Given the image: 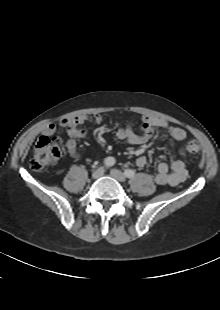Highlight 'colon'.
I'll return each mask as SVG.
<instances>
[{
  "label": "colon",
  "mask_w": 220,
  "mask_h": 310,
  "mask_svg": "<svg viewBox=\"0 0 220 310\" xmlns=\"http://www.w3.org/2000/svg\"><path fill=\"white\" fill-rule=\"evenodd\" d=\"M60 146L61 140L59 138L50 136L40 137L34 146L30 167L35 170H41L56 163L61 154ZM185 151L189 155H196L200 152V146L196 141L190 140L185 144Z\"/></svg>",
  "instance_id": "1"
}]
</instances>
